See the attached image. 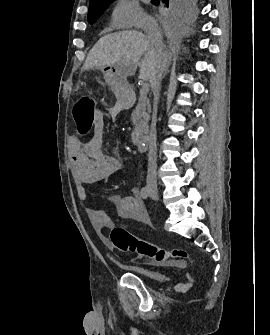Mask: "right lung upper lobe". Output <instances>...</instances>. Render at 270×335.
I'll return each mask as SVG.
<instances>
[{"label":"right lung upper lobe","instance_id":"right-lung-upper-lobe-1","mask_svg":"<svg viewBox=\"0 0 270 335\" xmlns=\"http://www.w3.org/2000/svg\"><path fill=\"white\" fill-rule=\"evenodd\" d=\"M113 0H90L89 6L111 3Z\"/></svg>","mask_w":270,"mask_h":335}]
</instances>
